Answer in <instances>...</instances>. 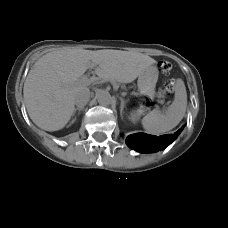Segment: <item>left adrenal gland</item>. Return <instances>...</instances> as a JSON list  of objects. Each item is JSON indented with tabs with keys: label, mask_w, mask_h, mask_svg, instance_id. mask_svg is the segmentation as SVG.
<instances>
[{
	"label": "left adrenal gland",
	"mask_w": 228,
	"mask_h": 228,
	"mask_svg": "<svg viewBox=\"0 0 228 228\" xmlns=\"http://www.w3.org/2000/svg\"><path fill=\"white\" fill-rule=\"evenodd\" d=\"M121 100V110H120V112H121V115L123 114V110H124V106H125V101H124V99H120Z\"/></svg>",
	"instance_id": "obj_1"
}]
</instances>
